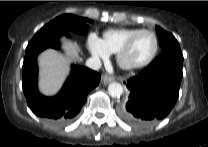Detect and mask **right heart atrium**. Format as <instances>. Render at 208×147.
I'll use <instances>...</instances> for the list:
<instances>
[{
    "label": "right heart atrium",
    "mask_w": 208,
    "mask_h": 147,
    "mask_svg": "<svg viewBox=\"0 0 208 147\" xmlns=\"http://www.w3.org/2000/svg\"><path fill=\"white\" fill-rule=\"evenodd\" d=\"M87 44L91 54L97 59H106L110 54L103 40L94 33L89 34Z\"/></svg>",
    "instance_id": "1"
}]
</instances>
